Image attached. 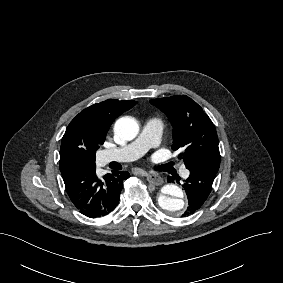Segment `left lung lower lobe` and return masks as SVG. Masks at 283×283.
<instances>
[{"mask_svg":"<svg viewBox=\"0 0 283 283\" xmlns=\"http://www.w3.org/2000/svg\"><path fill=\"white\" fill-rule=\"evenodd\" d=\"M189 170L190 175L184 184L188 196V207L183 216L194 213L207 200L219 166L202 164L193 166Z\"/></svg>","mask_w":283,"mask_h":283,"instance_id":"0a47b994","label":"left lung lower lobe"}]
</instances>
